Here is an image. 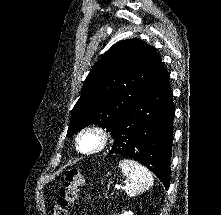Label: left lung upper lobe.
Returning a JSON list of instances; mask_svg holds the SVG:
<instances>
[{"label": "left lung upper lobe", "mask_w": 221, "mask_h": 215, "mask_svg": "<svg viewBox=\"0 0 221 215\" xmlns=\"http://www.w3.org/2000/svg\"><path fill=\"white\" fill-rule=\"evenodd\" d=\"M162 66L155 49L142 40L116 43L88 74L72 109L67 136L89 124L107 128L112 135L120 119Z\"/></svg>", "instance_id": "obj_1"}]
</instances>
